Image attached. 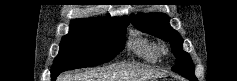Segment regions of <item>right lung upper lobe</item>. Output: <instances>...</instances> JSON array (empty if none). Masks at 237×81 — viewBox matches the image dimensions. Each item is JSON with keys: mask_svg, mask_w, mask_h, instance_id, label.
Wrapping results in <instances>:
<instances>
[{"mask_svg": "<svg viewBox=\"0 0 237 81\" xmlns=\"http://www.w3.org/2000/svg\"><path fill=\"white\" fill-rule=\"evenodd\" d=\"M72 22H79V23H90V24H114V23H129V18L127 16L123 18H111V17H103V18H91V19H78L73 20Z\"/></svg>", "mask_w": 237, "mask_h": 81, "instance_id": "right-lung-upper-lobe-1", "label": "right lung upper lobe"}]
</instances>
